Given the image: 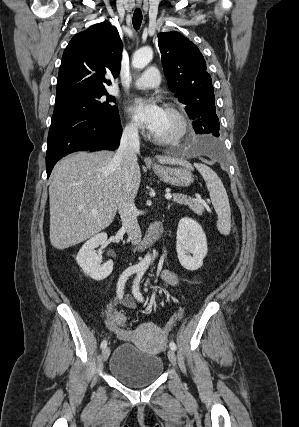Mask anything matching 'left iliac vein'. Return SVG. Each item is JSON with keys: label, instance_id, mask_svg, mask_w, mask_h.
I'll use <instances>...</instances> for the list:
<instances>
[{"label": "left iliac vein", "instance_id": "left-iliac-vein-1", "mask_svg": "<svg viewBox=\"0 0 299 427\" xmlns=\"http://www.w3.org/2000/svg\"><path fill=\"white\" fill-rule=\"evenodd\" d=\"M168 358H169L170 362H171L174 366H176V354H175L174 350L170 349V350L168 351Z\"/></svg>", "mask_w": 299, "mask_h": 427}]
</instances>
